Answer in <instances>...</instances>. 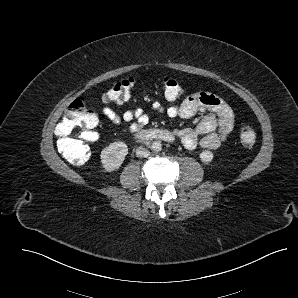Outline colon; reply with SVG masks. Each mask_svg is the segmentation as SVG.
<instances>
[{
	"mask_svg": "<svg viewBox=\"0 0 298 298\" xmlns=\"http://www.w3.org/2000/svg\"><path fill=\"white\" fill-rule=\"evenodd\" d=\"M134 85L135 80L132 77L119 80L110 87L103 98L108 102L123 103L130 98ZM162 91L164 97L169 101H176L183 94L179 82L171 77L163 79ZM97 126L98 118L88 110L85 100L83 98L75 99L68 106L61 121L55 128L58 137V148L75 164L87 162L90 157L87 143L97 140ZM240 141L247 148L254 146L256 132L251 125L247 123L241 125Z\"/></svg>",
	"mask_w": 298,
	"mask_h": 298,
	"instance_id": "5ec220e1",
	"label": "colon"
}]
</instances>
